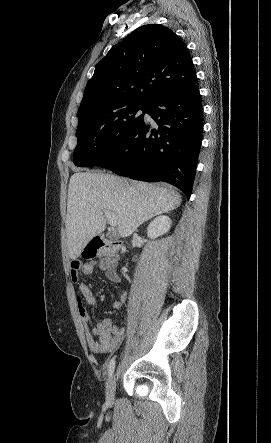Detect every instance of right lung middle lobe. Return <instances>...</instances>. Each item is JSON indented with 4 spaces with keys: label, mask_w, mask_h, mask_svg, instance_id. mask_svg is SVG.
<instances>
[{
    "label": "right lung middle lobe",
    "mask_w": 271,
    "mask_h": 443,
    "mask_svg": "<svg viewBox=\"0 0 271 443\" xmlns=\"http://www.w3.org/2000/svg\"><path fill=\"white\" fill-rule=\"evenodd\" d=\"M147 103H125L106 114L79 119L76 130L77 146L74 150L76 166H101L142 123Z\"/></svg>",
    "instance_id": "right-lung-middle-lobe-1"
}]
</instances>
